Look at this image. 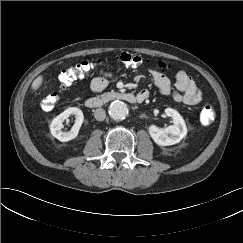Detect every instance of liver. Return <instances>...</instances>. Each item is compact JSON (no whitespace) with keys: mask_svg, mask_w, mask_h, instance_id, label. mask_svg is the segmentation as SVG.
Returning a JSON list of instances; mask_svg holds the SVG:
<instances>
[{"mask_svg":"<svg viewBox=\"0 0 243 243\" xmlns=\"http://www.w3.org/2000/svg\"><path fill=\"white\" fill-rule=\"evenodd\" d=\"M42 82H43V76L40 75L33 81L31 85L32 90H37L41 86Z\"/></svg>","mask_w":243,"mask_h":243,"instance_id":"obj_1","label":"liver"}]
</instances>
